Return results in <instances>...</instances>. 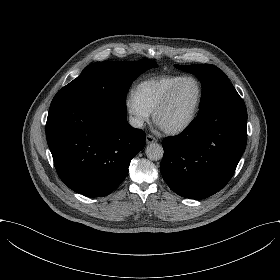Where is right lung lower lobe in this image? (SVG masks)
<instances>
[{
    "instance_id": "right-lung-lower-lobe-1",
    "label": "right lung lower lobe",
    "mask_w": 280,
    "mask_h": 280,
    "mask_svg": "<svg viewBox=\"0 0 280 280\" xmlns=\"http://www.w3.org/2000/svg\"><path fill=\"white\" fill-rule=\"evenodd\" d=\"M46 137L56 171L73 191L91 197L113 192L144 148L145 133L126 116L76 97H54Z\"/></svg>"
}]
</instances>
